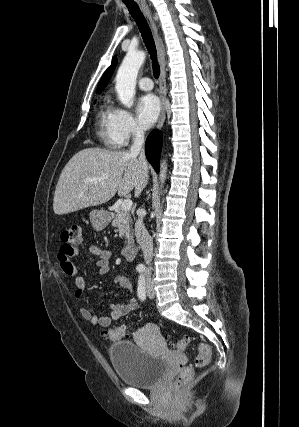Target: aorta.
Here are the masks:
<instances>
[{
    "mask_svg": "<svg viewBox=\"0 0 299 427\" xmlns=\"http://www.w3.org/2000/svg\"><path fill=\"white\" fill-rule=\"evenodd\" d=\"M145 58L146 54L144 51H129L118 69L115 88L120 102L125 107L129 108L133 105L137 74ZM166 172L167 164L166 161H163L160 165L159 174L161 187L166 179Z\"/></svg>",
    "mask_w": 299,
    "mask_h": 427,
    "instance_id": "obj_1",
    "label": "aorta"
}]
</instances>
